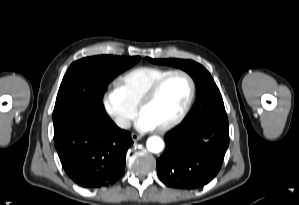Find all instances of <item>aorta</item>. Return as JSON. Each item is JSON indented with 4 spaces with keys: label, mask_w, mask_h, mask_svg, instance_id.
Here are the masks:
<instances>
[{
    "label": "aorta",
    "mask_w": 299,
    "mask_h": 205,
    "mask_svg": "<svg viewBox=\"0 0 299 205\" xmlns=\"http://www.w3.org/2000/svg\"><path fill=\"white\" fill-rule=\"evenodd\" d=\"M147 149L152 153H159L164 148V142L160 137L152 136L147 140Z\"/></svg>",
    "instance_id": "obj_1"
}]
</instances>
